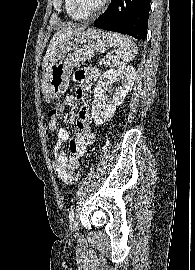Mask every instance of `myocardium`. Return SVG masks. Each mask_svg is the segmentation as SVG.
<instances>
[{"label":"myocardium","instance_id":"obj_1","mask_svg":"<svg viewBox=\"0 0 195 270\" xmlns=\"http://www.w3.org/2000/svg\"><path fill=\"white\" fill-rule=\"evenodd\" d=\"M71 1V6L72 8L80 15H82L83 17L89 18L91 16H94L96 14H98L104 7L105 5L108 3L109 0H101V2L92 10L89 11H85L83 10L77 0H70Z\"/></svg>","mask_w":195,"mask_h":270}]
</instances>
